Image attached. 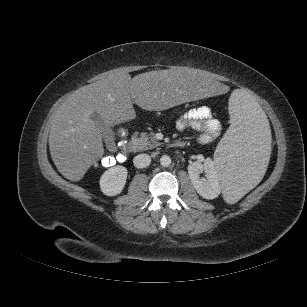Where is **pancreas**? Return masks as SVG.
Masks as SVG:
<instances>
[{
    "instance_id": "cf45deb5",
    "label": "pancreas",
    "mask_w": 307,
    "mask_h": 307,
    "mask_svg": "<svg viewBox=\"0 0 307 307\" xmlns=\"http://www.w3.org/2000/svg\"><path fill=\"white\" fill-rule=\"evenodd\" d=\"M133 150L135 151H145L147 149H152L160 145L157 142L153 133L142 132L140 135H134L131 140Z\"/></svg>"
}]
</instances>
